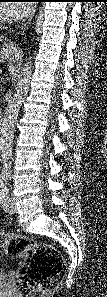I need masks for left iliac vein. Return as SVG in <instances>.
<instances>
[{"label": "left iliac vein", "instance_id": "1", "mask_svg": "<svg viewBox=\"0 0 107 297\" xmlns=\"http://www.w3.org/2000/svg\"><path fill=\"white\" fill-rule=\"evenodd\" d=\"M4 208L8 213H11V214L16 212V207L14 205V201L12 198L7 199L6 204L4 205Z\"/></svg>", "mask_w": 107, "mask_h": 297}]
</instances>
